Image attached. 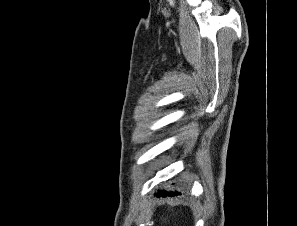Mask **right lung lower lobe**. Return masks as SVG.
<instances>
[{
    "label": "right lung lower lobe",
    "mask_w": 297,
    "mask_h": 226,
    "mask_svg": "<svg viewBox=\"0 0 297 226\" xmlns=\"http://www.w3.org/2000/svg\"><path fill=\"white\" fill-rule=\"evenodd\" d=\"M180 194L179 192H158L157 193V196L160 197V196H163V197H166V196H176Z\"/></svg>",
    "instance_id": "1"
}]
</instances>
